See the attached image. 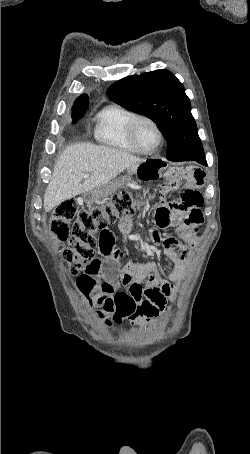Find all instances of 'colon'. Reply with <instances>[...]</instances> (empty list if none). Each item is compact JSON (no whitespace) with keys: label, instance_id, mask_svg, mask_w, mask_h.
I'll return each mask as SVG.
<instances>
[{"label":"colon","instance_id":"5ec220e1","mask_svg":"<svg viewBox=\"0 0 250 454\" xmlns=\"http://www.w3.org/2000/svg\"><path fill=\"white\" fill-rule=\"evenodd\" d=\"M143 207V201L128 191L116 193L108 201L84 209H79L73 199L57 205L52 212L50 228L63 245V256L72 274L80 272L95 258L99 231ZM74 217L76 220L71 225ZM99 315L103 317L104 312L99 311Z\"/></svg>","mask_w":250,"mask_h":454}]
</instances>
